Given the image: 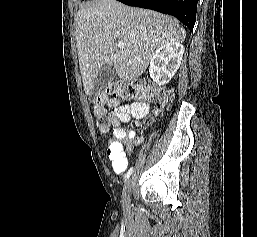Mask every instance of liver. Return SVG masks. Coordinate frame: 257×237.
I'll list each match as a JSON object with an SVG mask.
<instances>
[{"label": "liver", "instance_id": "6515ba94", "mask_svg": "<svg viewBox=\"0 0 257 237\" xmlns=\"http://www.w3.org/2000/svg\"><path fill=\"white\" fill-rule=\"evenodd\" d=\"M75 31L86 94L104 65H113L123 81L135 80L145 72L158 48L170 42L182 43L186 36L174 17L128 7L116 0H97L91 6H81ZM117 41L124 43L122 49Z\"/></svg>", "mask_w": 257, "mask_h": 237}]
</instances>
